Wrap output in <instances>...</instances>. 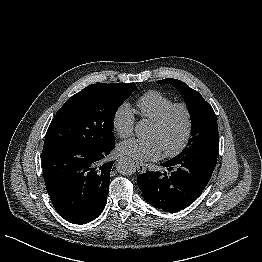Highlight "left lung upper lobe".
I'll return each instance as SVG.
<instances>
[{
	"label": "left lung upper lobe",
	"instance_id": "left-lung-upper-lobe-1",
	"mask_svg": "<svg viewBox=\"0 0 262 262\" xmlns=\"http://www.w3.org/2000/svg\"><path fill=\"white\" fill-rule=\"evenodd\" d=\"M159 84H171L182 95L189 109L192 121V138L185 149L173 159L209 157L216 158L219 133L216 115L201 94L177 79H163Z\"/></svg>",
	"mask_w": 262,
	"mask_h": 262
}]
</instances>
